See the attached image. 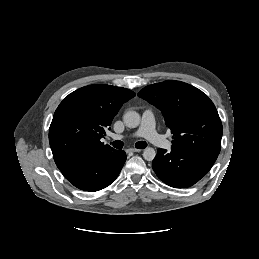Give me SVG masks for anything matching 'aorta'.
Here are the masks:
<instances>
[{
	"label": "aorta",
	"mask_w": 259,
	"mask_h": 259,
	"mask_svg": "<svg viewBox=\"0 0 259 259\" xmlns=\"http://www.w3.org/2000/svg\"><path fill=\"white\" fill-rule=\"evenodd\" d=\"M140 115L136 111H128L123 116L124 124L129 128H136L140 124ZM156 156L154 148L147 147L144 149L143 158L152 161Z\"/></svg>",
	"instance_id": "762f6f07"
}]
</instances>
